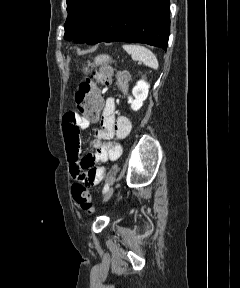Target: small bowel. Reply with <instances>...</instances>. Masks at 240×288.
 I'll list each match as a JSON object with an SVG mask.
<instances>
[{"mask_svg":"<svg viewBox=\"0 0 240 288\" xmlns=\"http://www.w3.org/2000/svg\"><path fill=\"white\" fill-rule=\"evenodd\" d=\"M90 126L91 121L75 111H68L64 115L62 128L70 173L76 182L94 186L105 175V168L94 164L117 160L122 152L119 141L129 135L132 126L126 116L117 114L114 98L108 97L103 104L100 127L95 131L92 141L95 152L81 156L79 134Z\"/></svg>","mask_w":240,"mask_h":288,"instance_id":"small-bowel-1","label":"small bowel"}]
</instances>
